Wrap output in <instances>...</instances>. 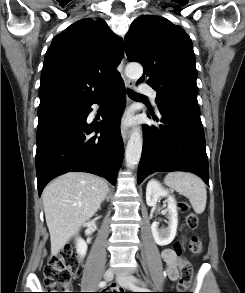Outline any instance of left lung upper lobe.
Listing matches in <instances>:
<instances>
[{
    "label": "left lung upper lobe",
    "instance_id": "obj_1",
    "mask_svg": "<svg viewBox=\"0 0 245 293\" xmlns=\"http://www.w3.org/2000/svg\"><path fill=\"white\" fill-rule=\"evenodd\" d=\"M129 61L144 69L138 81L157 91V105L177 103L199 110L197 70L192 42L180 26L159 16H141L134 20L125 37Z\"/></svg>",
    "mask_w": 245,
    "mask_h": 293
}]
</instances>
